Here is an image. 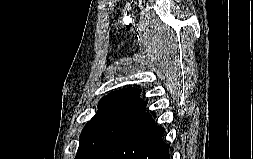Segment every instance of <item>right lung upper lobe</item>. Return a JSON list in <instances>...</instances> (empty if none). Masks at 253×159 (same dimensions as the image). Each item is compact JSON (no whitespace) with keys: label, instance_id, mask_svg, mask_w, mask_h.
I'll use <instances>...</instances> for the list:
<instances>
[{"label":"right lung upper lobe","instance_id":"obj_1","mask_svg":"<svg viewBox=\"0 0 253 159\" xmlns=\"http://www.w3.org/2000/svg\"><path fill=\"white\" fill-rule=\"evenodd\" d=\"M140 90L136 88H126L110 93V95L104 98H126L138 101H143L139 99Z\"/></svg>","mask_w":253,"mask_h":159}]
</instances>
